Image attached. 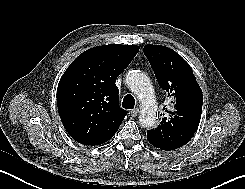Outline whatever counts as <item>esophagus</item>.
<instances>
[{"instance_id": "34e87169", "label": "esophagus", "mask_w": 245, "mask_h": 189, "mask_svg": "<svg viewBox=\"0 0 245 189\" xmlns=\"http://www.w3.org/2000/svg\"><path fill=\"white\" fill-rule=\"evenodd\" d=\"M140 112V109L139 108H135L131 111V115L133 117H136L138 115V113Z\"/></svg>"}]
</instances>
